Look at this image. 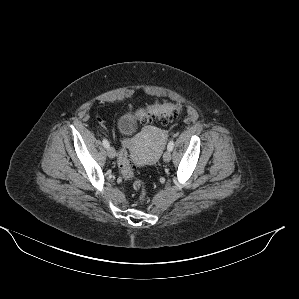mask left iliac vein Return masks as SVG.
I'll return each instance as SVG.
<instances>
[{
	"mask_svg": "<svg viewBox=\"0 0 299 299\" xmlns=\"http://www.w3.org/2000/svg\"><path fill=\"white\" fill-rule=\"evenodd\" d=\"M172 154L170 150H167L164 154H163V160L165 162H169L171 160Z\"/></svg>",
	"mask_w": 299,
	"mask_h": 299,
	"instance_id": "left-iliac-vein-1",
	"label": "left iliac vein"
}]
</instances>
